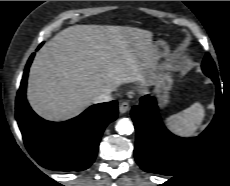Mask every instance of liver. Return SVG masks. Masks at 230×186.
Listing matches in <instances>:
<instances>
[{
	"label": "liver",
	"instance_id": "obj_1",
	"mask_svg": "<svg viewBox=\"0 0 230 186\" xmlns=\"http://www.w3.org/2000/svg\"><path fill=\"white\" fill-rule=\"evenodd\" d=\"M150 31L129 26L75 25L36 54L27 99L42 118L64 121L94 104L105 91L145 82L156 66Z\"/></svg>",
	"mask_w": 230,
	"mask_h": 186
}]
</instances>
